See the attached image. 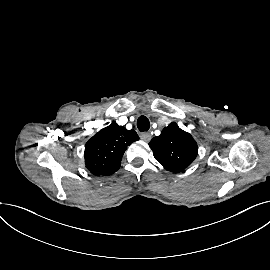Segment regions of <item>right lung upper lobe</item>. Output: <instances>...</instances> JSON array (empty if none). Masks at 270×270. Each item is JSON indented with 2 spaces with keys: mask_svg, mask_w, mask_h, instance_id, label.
Listing matches in <instances>:
<instances>
[{
  "mask_svg": "<svg viewBox=\"0 0 270 270\" xmlns=\"http://www.w3.org/2000/svg\"><path fill=\"white\" fill-rule=\"evenodd\" d=\"M139 140L134 130L113 122L101 129L85 145L86 168L96 176L115 173L127 146Z\"/></svg>",
  "mask_w": 270,
  "mask_h": 270,
  "instance_id": "obj_1",
  "label": "right lung upper lobe"
}]
</instances>
